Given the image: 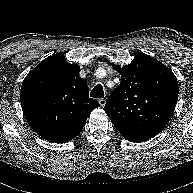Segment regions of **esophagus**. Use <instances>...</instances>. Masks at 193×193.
I'll return each mask as SVG.
<instances>
[{
    "mask_svg": "<svg viewBox=\"0 0 193 193\" xmlns=\"http://www.w3.org/2000/svg\"><path fill=\"white\" fill-rule=\"evenodd\" d=\"M98 102H99V104H100L101 107H104L105 104H106V99H104V98L99 99Z\"/></svg>",
    "mask_w": 193,
    "mask_h": 193,
    "instance_id": "obj_1",
    "label": "esophagus"
}]
</instances>
